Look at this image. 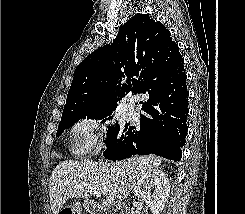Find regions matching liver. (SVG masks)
Listing matches in <instances>:
<instances>
[{
  "label": "liver",
  "instance_id": "1",
  "mask_svg": "<svg viewBox=\"0 0 245 214\" xmlns=\"http://www.w3.org/2000/svg\"><path fill=\"white\" fill-rule=\"evenodd\" d=\"M160 164L161 159L153 155L111 163L64 160L56 166L49 179L52 213L58 214L70 198H87L85 185L122 201L144 173Z\"/></svg>",
  "mask_w": 245,
  "mask_h": 214
}]
</instances>
